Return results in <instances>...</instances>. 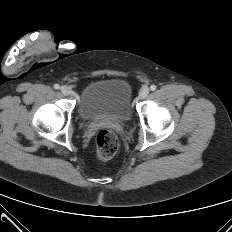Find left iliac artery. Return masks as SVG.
<instances>
[{
    "label": "left iliac artery",
    "instance_id": "obj_1",
    "mask_svg": "<svg viewBox=\"0 0 232 232\" xmlns=\"http://www.w3.org/2000/svg\"><path fill=\"white\" fill-rule=\"evenodd\" d=\"M150 90H151V91L156 90V85H151V86H150Z\"/></svg>",
    "mask_w": 232,
    "mask_h": 232
}]
</instances>
